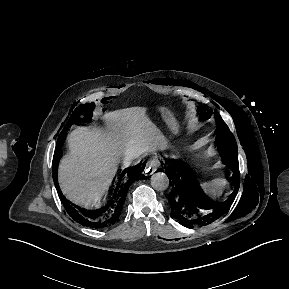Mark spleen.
<instances>
[{"mask_svg":"<svg viewBox=\"0 0 289 289\" xmlns=\"http://www.w3.org/2000/svg\"><path fill=\"white\" fill-rule=\"evenodd\" d=\"M223 179L217 178L201 184L202 189L211 197L216 198L223 188Z\"/></svg>","mask_w":289,"mask_h":289,"instance_id":"1","label":"spleen"}]
</instances>
